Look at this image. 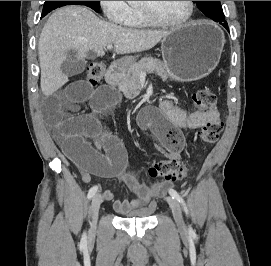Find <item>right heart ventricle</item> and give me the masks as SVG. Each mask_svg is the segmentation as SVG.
Wrapping results in <instances>:
<instances>
[{
  "mask_svg": "<svg viewBox=\"0 0 271 266\" xmlns=\"http://www.w3.org/2000/svg\"><path fill=\"white\" fill-rule=\"evenodd\" d=\"M126 25L129 27L144 28L150 26L151 23L147 21L138 7H132Z\"/></svg>",
  "mask_w": 271,
  "mask_h": 266,
  "instance_id": "1",
  "label": "right heart ventricle"
}]
</instances>
